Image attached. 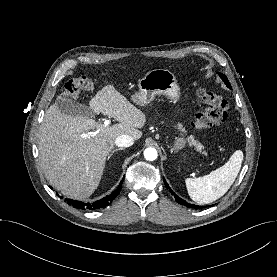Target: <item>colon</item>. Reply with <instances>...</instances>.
<instances>
[{"instance_id": "5ec220e1", "label": "colon", "mask_w": 277, "mask_h": 277, "mask_svg": "<svg viewBox=\"0 0 277 277\" xmlns=\"http://www.w3.org/2000/svg\"><path fill=\"white\" fill-rule=\"evenodd\" d=\"M93 82L86 75L70 78L64 86V93L70 98H77L82 90H92ZM197 95L204 104L191 121V126L198 131H207L214 125L223 123L227 118L228 103L217 92L198 87Z\"/></svg>"}]
</instances>
